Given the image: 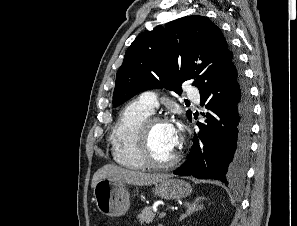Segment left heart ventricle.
<instances>
[{"label": "left heart ventricle", "instance_id": "obj_1", "mask_svg": "<svg viewBox=\"0 0 297 226\" xmlns=\"http://www.w3.org/2000/svg\"><path fill=\"white\" fill-rule=\"evenodd\" d=\"M150 149L153 156L159 161H166L176 153L178 145L173 139L168 123H159L152 127Z\"/></svg>", "mask_w": 297, "mask_h": 226}]
</instances>
